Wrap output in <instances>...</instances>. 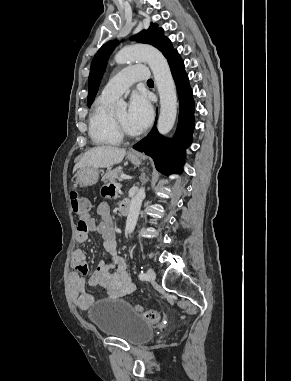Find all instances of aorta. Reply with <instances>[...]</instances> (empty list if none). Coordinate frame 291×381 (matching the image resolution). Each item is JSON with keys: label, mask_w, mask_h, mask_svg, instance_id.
Here are the masks:
<instances>
[{"label": "aorta", "mask_w": 291, "mask_h": 381, "mask_svg": "<svg viewBox=\"0 0 291 381\" xmlns=\"http://www.w3.org/2000/svg\"><path fill=\"white\" fill-rule=\"evenodd\" d=\"M115 61L117 64L144 61L149 65L160 96L157 129L163 135L170 132L177 115V95L168 62L162 53L150 45L137 44L122 48L116 54ZM118 106L125 107V103L119 102ZM144 197L145 189L140 188L131 200L125 228L127 234L132 233L135 229Z\"/></svg>", "instance_id": "762f6f07"}]
</instances>
